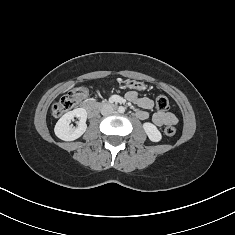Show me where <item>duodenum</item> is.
Instances as JSON below:
<instances>
[{
	"label": "duodenum",
	"mask_w": 235,
	"mask_h": 235,
	"mask_svg": "<svg viewBox=\"0 0 235 235\" xmlns=\"http://www.w3.org/2000/svg\"><path fill=\"white\" fill-rule=\"evenodd\" d=\"M102 106L117 107L116 103L101 104L95 102H87L83 105V109L87 112L90 117H95Z\"/></svg>",
	"instance_id": "obj_1"
}]
</instances>
